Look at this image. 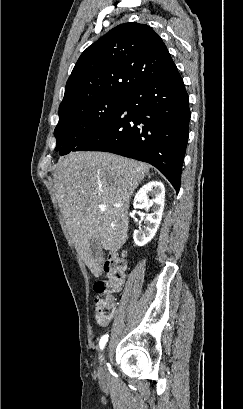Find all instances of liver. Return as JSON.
<instances>
[{
    "mask_svg": "<svg viewBox=\"0 0 243 409\" xmlns=\"http://www.w3.org/2000/svg\"><path fill=\"white\" fill-rule=\"evenodd\" d=\"M148 173L147 164L112 153L73 152L58 160L54 184L60 211L94 276L102 274L105 259L92 256L91 241L112 253L126 243L131 195Z\"/></svg>",
    "mask_w": 243,
    "mask_h": 409,
    "instance_id": "1",
    "label": "liver"
}]
</instances>
